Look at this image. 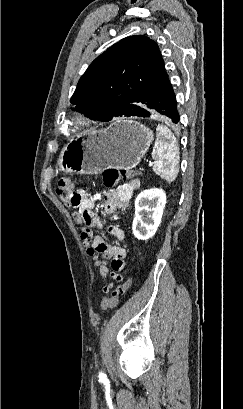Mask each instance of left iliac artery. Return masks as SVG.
Wrapping results in <instances>:
<instances>
[{
	"label": "left iliac artery",
	"mask_w": 243,
	"mask_h": 409,
	"mask_svg": "<svg viewBox=\"0 0 243 409\" xmlns=\"http://www.w3.org/2000/svg\"><path fill=\"white\" fill-rule=\"evenodd\" d=\"M99 377H100V378H105V374L101 372V373L99 374Z\"/></svg>",
	"instance_id": "44dca946"
}]
</instances>
